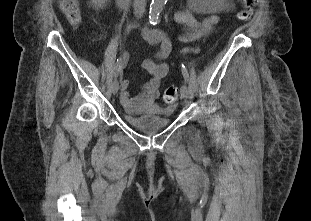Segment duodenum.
<instances>
[{
	"instance_id": "1",
	"label": "duodenum",
	"mask_w": 311,
	"mask_h": 221,
	"mask_svg": "<svg viewBox=\"0 0 311 221\" xmlns=\"http://www.w3.org/2000/svg\"><path fill=\"white\" fill-rule=\"evenodd\" d=\"M135 0H116L118 5L120 6H128L131 5Z\"/></svg>"
}]
</instances>
